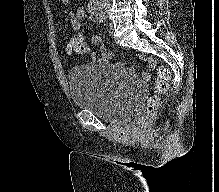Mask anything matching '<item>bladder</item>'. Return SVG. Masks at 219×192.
<instances>
[{
  "label": "bladder",
  "mask_w": 219,
  "mask_h": 192,
  "mask_svg": "<svg viewBox=\"0 0 219 192\" xmlns=\"http://www.w3.org/2000/svg\"><path fill=\"white\" fill-rule=\"evenodd\" d=\"M74 105L112 123L132 119L144 92L118 64L93 62L77 65L67 73Z\"/></svg>",
  "instance_id": "obj_1"
}]
</instances>
